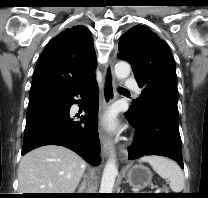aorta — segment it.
Wrapping results in <instances>:
<instances>
[{
  "label": "aorta",
  "instance_id": "1",
  "mask_svg": "<svg viewBox=\"0 0 208 198\" xmlns=\"http://www.w3.org/2000/svg\"><path fill=\"white\" fill-rule=\"evenodd\" d=\"M131 67L129 63L120 61L115 65V75L118 79L129 76ZM118 169L115 158H110L104 168L99 193H112Z\"/></svg>",
  "mask_w": 208,
  "mask_h": 198
}]
</instances>
